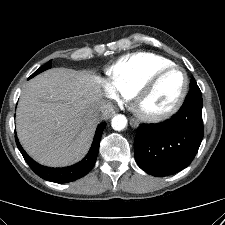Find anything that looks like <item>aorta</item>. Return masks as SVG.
<instances>
[{
    "instance_id": "1",
    "label": "aorta",
    "mask_w": 225,
    "mask_h": 225,
    "mask_svg": "<svg viewBox=\"0 0 225 225\" xmlns=\"http://www.w3.org/2000/svg\"><path fill=\"white\" fill-rule=\"evenodd\" d=\"M111 126L114 130L121 131L127 126V118L122 114L115 115L112 118Z\"/></svg>"
}]
</instances>
